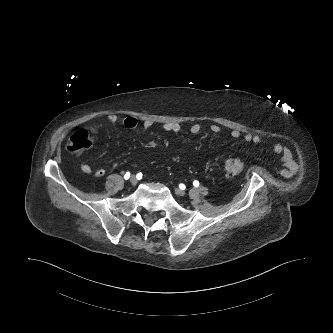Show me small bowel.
Segmentation results:
<instances>
[{"mask_svg": "<svg viewBox=\"0 0 333 333\" xmlns=\"http://www.w3.org/2000/svg\"><path fill=\"white\" fill-rule=\"evenodd\" d=\"M118 121H119V117L117 115L112 114V115L108 116L109 123L115 124ZM122 123H123L124 127H126L127 129H134L138 126L139 121L135 117H127V118L123 119ZM141 125H142L143 129L148 130L153 126V122L151 120H144ZM201 128H202L201 124L196 122L190 126L189 130H190L191 134H198L201 131ZM163 129H164V131H166L168 133H178L180 131L181 127L176 122H167L163 125ZM210 130H211V132L217 134L221 131V127L219 125L213 124L210 127ZM230 135L232 138L237 139L241 136V132L237 129H234L231 131ZM243 138L246 142L253 143L255 145H259L262 143V139L258 135H252V134L248 133V134H245ZM272 149H273V152L275 154L279 155L281 158V161L283 163V169H282L283 174L291 175L297 171L298 166L296 163V159L287 146L282 145L280 143H276L273 145ZM80 169L85 174L93 175L94 177H97V178L103 177L106 173L104 168L100 167L97 169H93L90 166V164H88L85 161L80 162Z\"/></svg>", "mask_w": 333, "mask_h": 333, "instance_id": "1", "label": "small bowel"}]
</instances>
